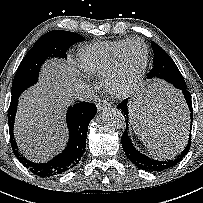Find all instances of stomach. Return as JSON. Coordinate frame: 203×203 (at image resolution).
<instances>
[{"label":"stomach","mask_w":203,"mask_h":203,"mask_svg":"<svg viewBox=\"0 0 203 203\" xmlns=\"http://www.w3.org/2000/svg\"><path fill=\"white\" fill-rule=\"evenodd\" d=\"M138 101L143 102V106H145V103L148 102L147 94H146V96L139 97V98H138ZM148 104H149V106H148V108H147V111L150 112V111L153 110V109H152V106L150 105L149 102H148Z\"/></svg>","instance_id":"stomach-1"}]
</instances>
